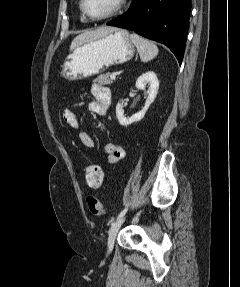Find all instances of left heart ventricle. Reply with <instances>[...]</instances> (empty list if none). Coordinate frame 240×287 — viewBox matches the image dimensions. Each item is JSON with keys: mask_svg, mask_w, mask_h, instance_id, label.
<instances>
[{"mask_svg": "<svg viewBox=\"0 0 240 287\" xmlns=\"http://www.w3.org/2000/svg\"><path fill=\"white\" fill-rule=\"evenodd\" d=\"M116 0H86V8L92 16H103L111 11Z\"/></svg>", "mask_w": 240, "mask_h": 287, "instance_id": "obj_1", "label": "left heart ventricle"}]
</instances>
